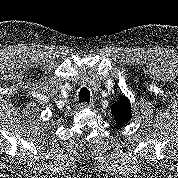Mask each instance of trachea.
Masks as SVG:
<instances>
[{"label":"trachea","mask_w":178,"mask_h":178,"mask_svg":"<svg viewBox=\"0 0 178 178\" xmlns=\"http://www.w3.org/2000/svg\"><path fill=\"white\" fill-rule=\"evenodd\" d=\"M79 102H90V91L86 87L81 88L79 91Z\"/></svg>","instance_id":"trachea-1"}]
</instances>
